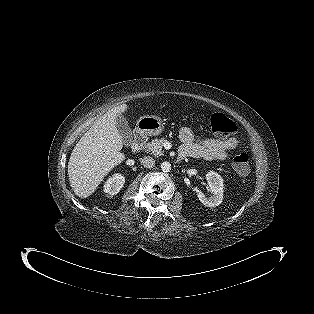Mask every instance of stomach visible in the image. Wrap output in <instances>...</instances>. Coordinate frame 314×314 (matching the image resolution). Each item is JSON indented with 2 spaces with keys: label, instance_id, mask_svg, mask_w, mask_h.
I'll list each match as a JSON object with an SVG mask.
<instances>
[{
  "label": "stomach",
  "instance_id": "0dacf381",
  "mask_svg": "<svg viewBox=\"0 0 314 314\" xmlns=\"http://www.w3.org/2000/svg\"><path fill=\"white\" fill-rule=\"evenodd\" d=\"M164 121L154 115H147L141 117L136 124V131L144 136H157L164 130Z\"/></svg>",
  "mask_w": 314,
  "mask_h": 314
}]
</instances>
